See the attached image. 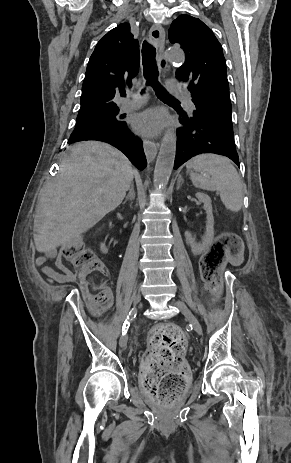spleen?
Returning <instances> with one entry per match:
<instances>
[{
    "mask_svg": "<svg viewBox=\"0 0 291 463\" xmlns=\"http://www.w3.org/2000/svg\"><path fill=\"white\" fill-rule=\"evenodd\" d=\"M200 174L191 173L195 187L215 190L220 194L224 206L238 212L243 205V183L230 160L214 154H202L192 158L186 165ZM211 177V178H210Z\"/></svg>",
    "mask_w": 291,
    "mask_h": 463,
    "instance_id": "obj_1",
    "label": "spleen"
}]
</instances>
